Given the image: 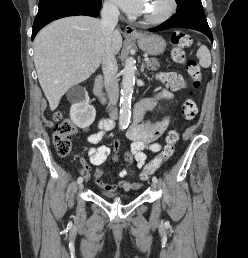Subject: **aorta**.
I'll return each instance as SVG.
<instances>
[{
    "instance_id": "1",
    "label": "aorta",
    "mask_w": 248,
    "mask_h": 258,
    "mask_svg": "<svg viewBox=\"0 0 248 258\" xmlns=\"http://www.w3.org/2000/svg\"><path fill=\"white\" fill-rule=\"evenodd\" d=\"M135 61L132 58H127L122 71V88L120 98V113H119V127L126 129L130 122L131 116V99L135 85Z\"/></svg>"
}]
</instances>
